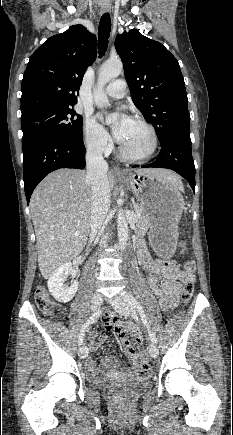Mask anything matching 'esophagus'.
I'll use <instances>...</instances> for the list:
<instances>
[{
    "instance_id": "34e87169",
    "label": "esophagus",
    "mask_w": 233,
    "mask_h": 435,
    "mask_svg": "<svg viewBox=\"0 0 233 435\" xmlns=\"http://www.w3.org/2000/svg\"><path fill=\"white\" fill-rule=\"evenodd\" d=\"M110 10H111V5L108 2L102 4V6H101V13L102 14L109 13ZM113 172L115 175H119V176L125 175V172L118 166H114Z\"/></svg>"
}]
</instances>
